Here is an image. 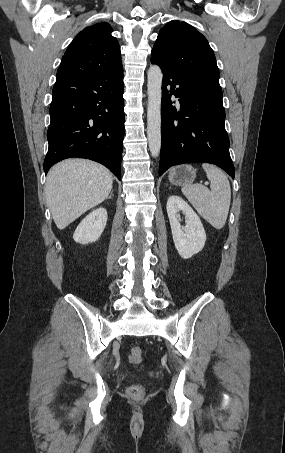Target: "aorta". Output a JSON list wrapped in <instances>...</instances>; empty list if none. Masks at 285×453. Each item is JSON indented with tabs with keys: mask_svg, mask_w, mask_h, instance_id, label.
<instances>
[{
	"mask_svg": "<svg viewBox=\"0 0 285 453\" xmlns=\"http://www.w3.org/2000/svg\"><path fill=\"white\" fill-rule=\"evenodd\" d=\"M163 74L159 66L152 65L148 70V108L147 138L153 157H157L161 148V95Z\"/></svg>",
	"mask_w": 285,
	"mask_h": 453,
	"instance_id": "obj_1",
	"label": "aorta"
}]
</instances>
